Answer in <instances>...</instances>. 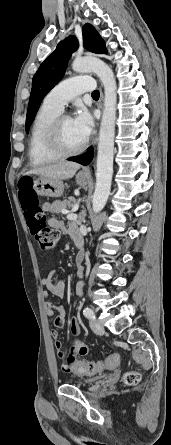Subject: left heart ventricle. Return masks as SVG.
<instances>
[{"label": "left heart ventricle", "instance_id": "obj_1", "mask_svg": "<svg viewBox=\"0 0 171 445\" xmlns=\"http://www.w3.org/2000/svg\"><path fill=\"white\" fill-rule=\"evenodd\" d=\"M61 139L66 148H76L83 143L85 138L76 127L72 118L66 119L61 127Z\"/></svg>", "mask_w": 171, "mask_h": 445}]
</instances>
